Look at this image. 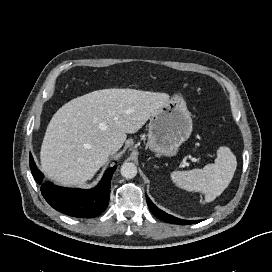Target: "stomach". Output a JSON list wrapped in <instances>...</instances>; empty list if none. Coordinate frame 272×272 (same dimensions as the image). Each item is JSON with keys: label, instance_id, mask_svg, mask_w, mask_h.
<instances>
[{"label": "stomach", "instance_id": "0dacf381", "mask_svg": "<svg viewBox=\"0 0 272 272\" xmlns=\"http://www.w3.org/2000/svg\"><path fill=\"white\" fill-rule=\"evenodd\" d=\"M191 114L184 99L174 95L150 118L147 147L157 154L172 157L191 135Z\"/></svg>", "mask_w": 272, "mask_h": 272}]
</instances>
